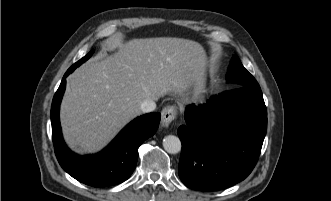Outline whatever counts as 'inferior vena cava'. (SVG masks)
<instances>
[{"mask_svg":"<svg viewBox=\"0 0 331 201\" xmlns=\"http://www.w3.org/2000/svg\"><path fill=\"white\" fill-rule=\"evenodd\" d=\"M155 108L156 103L152 99H146L140 105V109L144 113L152 112L155 110Z\"/></svg>","mask_w":331,"mask_h":201,"instance_id":"inferior-vena-cava-1","label":"inferior vena cava"}]
</instances>
